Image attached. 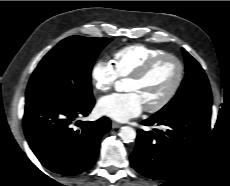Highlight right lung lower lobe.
I'll return each instance as SVG.
<instances>
[{
	"label": "right lung lower lobe",
	"mask_w": 230,
	"mask_h": 186,
	"mask_svg": "<svg viewBox=\"0 0 230 186\" xmlns=\"http://www.w3.org/2000/svg\"><path fill=\"white\" fill-rule=\"evenodd\" d=\"M94 98L66 101L48 97L26 103L23 127L27 141L43 166L72 176L90 169L96 162L100 139L110 130L111 121L102 117L72 128L79 116H87Z\"/></svg>",
	"instance_id": "98d812e1"
}]
</instances>
